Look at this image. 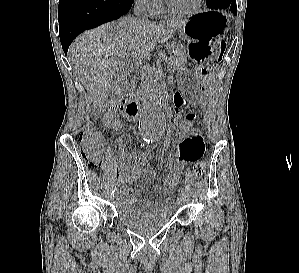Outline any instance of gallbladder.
Instances as JSON below:
<instances>
[{
  "label": "gallbladder",
  "instance_id": "gallbladder-1",
  "mask_svg": "<svg viewBox=\"0 0 299 273\" xmlns=\"http://www.w3.org/2000/svg\"><path fill=\"white\" fill-rule=\"evenodd\" d=\"M128 70V66L126 65V63L121 62V67L120 69L116 72V77H115V81L122 85L123 81H124V75L127 73ZM112 96H115L114 94Z\"/></svg>",
  "mask_w": 299,
  "mask_h": 273
}]
</instances>
